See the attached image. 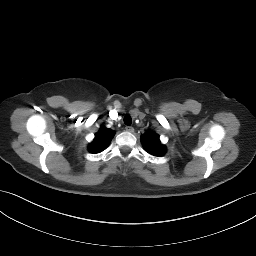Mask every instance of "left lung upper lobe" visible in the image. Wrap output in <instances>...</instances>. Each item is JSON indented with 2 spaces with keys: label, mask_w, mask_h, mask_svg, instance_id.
<instances>
[{
  "label": "left lung upper lobe",
  "mask_w": 256,
  "mask_h": 256,
  "mask_svg": "<svg viewBox=\"0 0 256 256\" xmlns=\"http://www.w3.org/2000/svg\"><path fill=\"white\" fill-rule=\"evenodd\" d=\"M141 141L145 150L154 156H162L166 151L159 140V136L153 131L144 133L141 137Z\"/></svg>",
  "instance_id": "5c2ea615"
}]
</instances>
